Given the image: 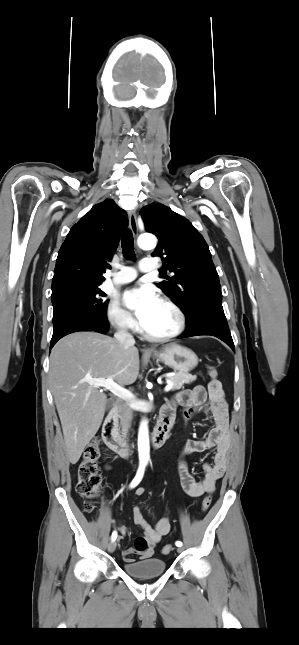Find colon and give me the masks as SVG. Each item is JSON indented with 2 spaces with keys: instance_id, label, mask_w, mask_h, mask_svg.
Segmentation results:
<instances>
[{
  "instance_id": "obj_1",
  "label": "colon",
  "mask_w": 299,
  "mask_h": 645,
  "mask_svg": "<svg viewBox=\"0 0 299 645\" xmlns=\"http://www.w3.org/2000/svg\"><path fill=\"white\" fill-rule=\"evenodd\" d=\"M211 381L209 388L214 391L221 389V383L218 380L217 371L209 368ZM100 455V443L97 439L90 441L84 449L82 460L78 467V479L76 483L77 493L86 498L85 509L93 510V499L99 496L101 492V475L98 470L97 460ZM212 498L209 494L205 496L202 502V510L207 511L211 505ZM147 543L143 537L135 540V549L142 552L146 549ZM173 550L171 545H165L162 548L163 554H169Z\"/></svg>"
}]
</instances>
